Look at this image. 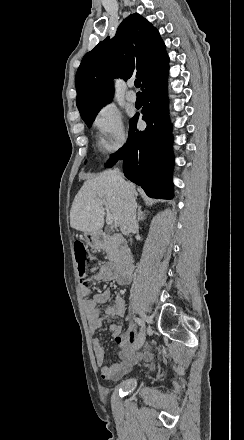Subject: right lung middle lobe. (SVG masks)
I'll return each mask as SVG.
<instances>
[{
	"label": "right lung middle lobe",
	"mask_w": 244,
	"mask_h": 440,
	"mask_svg": "<svg viewBox=\"0 0 244 440\" xmlns=\"http://www.w3.org/2000/svg\"><path fill=\"white\" fill-rule=\"evenodd\" d=\"M111 100H108L106 102H104L102 105L93 108L91 110H87V111H80L81 113V117L82 119L85 121V123L87 124L88 127H90L92 125V122L94 121L98 111L107 103H109Z\"/></svg>",
	"instance_id": "1"
}]
</instances>
